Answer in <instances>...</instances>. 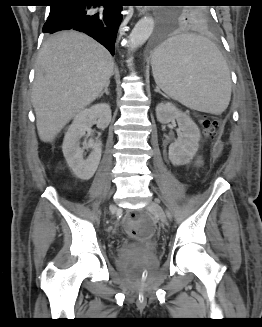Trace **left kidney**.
Segmentation results:
<instances>
[{
  "label": "left kidney",
  "instance_id": "obj_1",
  "mask_svg": "<svg viewBox=\"0 0 262 327\" xmlns=\"http://www.w3.org/2000/svg\"><path fill=\"white\" fill-rule=\"evenodd\" d=\"M156 117L162 124L177 120L182 133L169 146V159L175 166L189 164L198 151L201 139L200 130L196 123L189 115L169 102L160 103L156 106Z\"/></svg>",
  "mask_w": 262,
  "mask_h": 327
}]
</instances>
